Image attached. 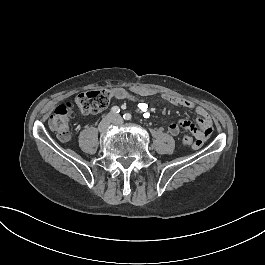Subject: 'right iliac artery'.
<instances>
[{
    "mask_svg": "<svg viewBox=\"0 0 265 265\" xmlns=\"http://www.w3.org/2000/svg\"><path fill=\"white\" fill-rule=\"evenodd\" d=\"M120 112V108L118 106H114L111 108L112 114H118Z\"/></svg>",
    "mask_w": 265,
    "mask_h": 265,
    "instance_id": "right-iliac-artery-1",
    "label": "right iliac artery"
}]
</instances>
